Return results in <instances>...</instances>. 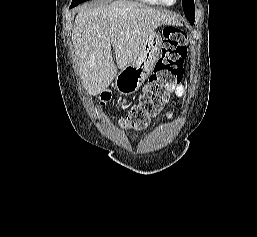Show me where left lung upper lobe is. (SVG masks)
I'll return each instance as SVG.
<instances>
[{"label": "left lung upper lobe", "instance_id": "5c2ea615", "mask_svg": "<svg viewBox=\"0 0 257 237\" xmlns=\"http://www.w3.org/2000/svg\"><path fill=\"white\" fill-rule=\"evenodd\" d=\"M182 6L186 18L189 20L190 24H194V0H182Z\"/></svg>", "mask_w": 257, "mask_h": 237}]
</instances>
